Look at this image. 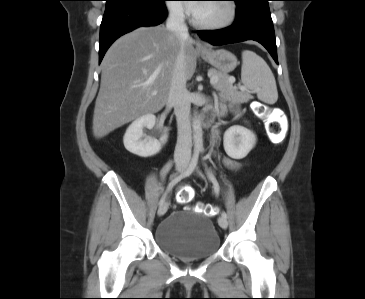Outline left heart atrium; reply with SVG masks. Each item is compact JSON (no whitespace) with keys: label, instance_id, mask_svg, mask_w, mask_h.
<instances>
[{"label":"left heart atrium","instance_id":"39dd6f15","mask_svg":"<svg viewBox=\"0 0 365 299\" xmlns=\"http://www.w3.org/2000/svg\"><path fill=\"white\" fill-rule=\"evenodd\" d=\"M199 7H200L199 4H191L190 10L192 13H195L199 9Z\"/></svg>","mask_w":365,"mask_h":299}]
</instances>
